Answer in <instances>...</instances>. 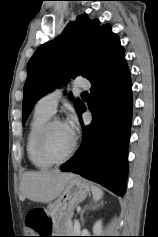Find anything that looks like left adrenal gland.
<instances>
[{"label":"left adrenal gland","instance_id":"left-adrenal-gland-1","mask_svg":"<svg viewBox=\"0 0 158 237\" xmlns=\"http://www.w3.org/2000/svg\"><path fill=\"white\" fill-rule=\"evenodd\" d=\"M93 208H95V207H93ZM87 209H89V207H88V206H85V208L82 210V212H81V214H80V218H81L82 223H84L83 215H84V213H85V211H86Z\"/></svg>","mask_w":158,"mask_h":237}]
</instances>
